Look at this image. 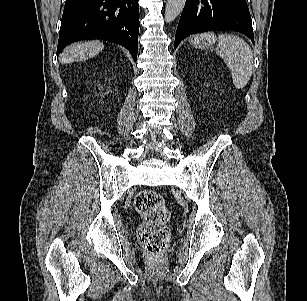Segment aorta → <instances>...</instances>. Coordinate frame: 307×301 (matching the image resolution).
Returning <instances> with one entry per match:
<instances>
[{
  "mask_svg": "<svg viewBox=\"0 0 307 301\" xmlns=\"http://www.w3.org/2000/svg\"><path fill=\"white\" fill-rule=\"evenodd\" d=\"M186 0H167L165 8V20L172 22L183 10Z\"/></svg>",
  "mask_w": 307,
  "mask_h": 301,
  "instance_id": "aorta-1",
  "label": "aorta"
}]
</instances>
